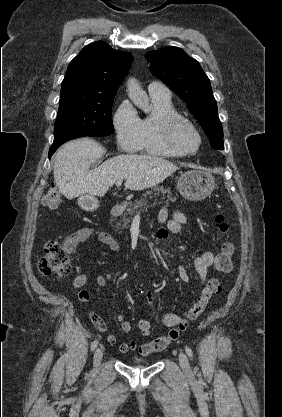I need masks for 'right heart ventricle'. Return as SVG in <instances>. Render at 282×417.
I'll return each instance as SVG.
<instances>
[{
	"label": "right heart ventricle",
	"mask_w": 282,
	"mask_h": 417,
	"mask_svg": "<svg viewBox=\"0 0 282 417\" xmlns=\"http://www.w3.org/2000/svg\"><path fill=\"white\" fill-rule=\"evenodd\" d=\"M152 103L153 111L144 117H138L142 136L141 148L157 155L175 156L177 153L165 144L158 131L157 119L162 113H176V110L170 99L152 97Z\"/></svg>",
	"instance_id": "right-heart-ventricle-1"
}]
</instances>
